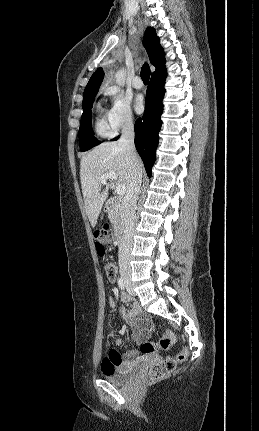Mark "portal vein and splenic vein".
Listing matches in <instances>:
<instances>
[{
	"mask_svg": "<svg viewBox=\"0 0 259 431\" xmlns=\"http://www.w3.org/2000/svg\"><path fill=\"white\" fill-rule=\"evenodd\" d=\"M118 178L115 172H107L100 177L102 183L106 182L107 179L116 180ZM116 192L118 195H124L126 192V187L124 185H118L116 187Z\"/></svg>",
	"mask_w": 259,
	"mask_h": 431,
	"instance_id": "1",
	"label": "portal vein and splenic vein"
}]
</instances>
